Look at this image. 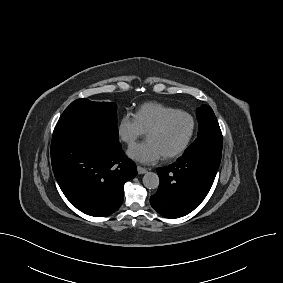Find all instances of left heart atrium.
Here are the masks:
<instances>
[{"mask_svg":"<svg viewBox=\"0 0 283 283\" xmlns=\"http://www.w3.org/2000/svg\"><path fill=\"white\" fill-rule=\"evenodd\" d=\"M127 154L132 160L142 164H154L163 156L160 149L148 140L134 145Z\"/></svg>","mask_w":283,"mask_h":283,"instance_id":"obj_1","label":"left heart atrium"}]
</instances>
